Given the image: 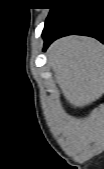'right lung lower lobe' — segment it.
Here are the masks:
<instances>
[{"mask_svg": "<svg viewBox=\"0 0 104 169\" xmlns=\"http://www.w3.org/2000/svg\"><path fill=\"white\" fill-rule=\"evenodd\" d=\"M71 34L91 36L104 43L103 0H73L64 5L44 27V50L57 38Z\"/></svg>", "mask_w": 104, "mask_h": 169, "instance_id": "obj_1", "label": "right lung lower lobe"}]
</instances>
